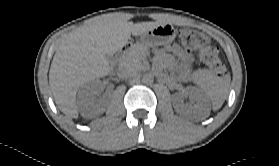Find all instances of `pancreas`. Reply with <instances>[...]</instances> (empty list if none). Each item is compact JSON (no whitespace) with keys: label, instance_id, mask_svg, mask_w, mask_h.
I'll use <instances>...</instances> for the list:
<instances>
[{"label":"pancreas","instance_id":"pancreas-1","mask_svg":"<svg viewBox=\"0 0 279 166\" xmlns=\"http://www.w3.org/2000/svg\"><path fill=\"white\" fill-rule=\"evenodd\" d=\"M147 51V46L135 44L132 49L122 57L120 66L122 68L139 69L142 66V60Z\"/></svg>","mask_w":279,"mask_h":166}]
</instances>
